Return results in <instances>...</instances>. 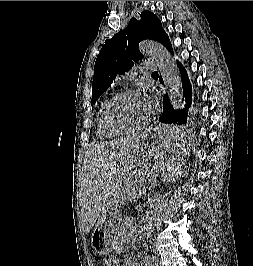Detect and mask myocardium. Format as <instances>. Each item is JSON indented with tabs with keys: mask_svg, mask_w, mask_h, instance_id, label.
<instances>
[{
	"mask_svg": "<svg viewBox=\"0 0 253 266\" xmlns=\"http://www.w3.org/2000/svg\"><path fill=\"white\" fill-rule=\"evenodd\" d=\"M128 95H141L140 91L135 90V89H125L122 90L118 93H116L105 105L104 109H103V113H102V123L103 126L105 127V129H107L108 131L114 133V134H128V133H132L134 131L139 130L140 128H142L143 126H145L148 122V118H146L142 123L133 126V127H128V128H123L117 125H114L110 122V111L112 109V107L115 105V103L117 101H119L121 98L128 96Z\"/></svg>",
	"mask_w": 253,
	"mask_h": 266,
	"instance_id": "1",
	"label": "myocardium"
}]
</instances>
